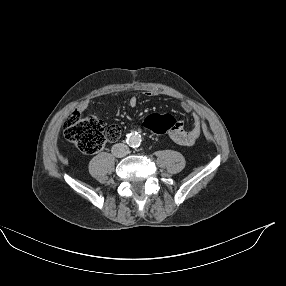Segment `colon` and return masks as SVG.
<instances>
[{
	"instance_id": "5ec220e1",
	"label": "colon",
	"mask_w": 286,
	"mask_h": 286,
	"mask_svg": "<svg viewBox=\"0 0 286 286\" xmlns=\"http://www.w3.org/2000/svg\"><path fill=\"white\" fill-rule=\"evenodd\" d=\"M178 124L179 121L170 113H150L142 121L143 129L153 136H167V132ZM64 134L82 153L95 154L107 142L117 141L121 136V128L115 124L106 125L95 116L83 117L74 111L65 121Z\"/></svg>"
}]
</instances>
